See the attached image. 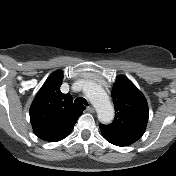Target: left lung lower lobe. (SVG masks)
<instances>
[{
	"label": "left lung lower lobe",
	"mask_w": 176,
	"mask_h": 176,
	"mask_svg": "<svg viewBox=\"0 0 176 176\" xmlns=\"http://www.w3.org/2000/svg\"><path fill=\"white\" fill-rule=\"evenodd\" d=\"M107 141H109L110 143H112V144H114V145H116V146H122V145L117 144V143H115V142H112V141H110V140H107Z\"/></svg>",
	"instance_id": "left-lung-lower-lobe-1"
}]
</instances>
